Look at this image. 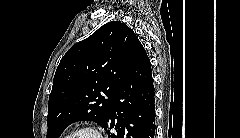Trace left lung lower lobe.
Returning <instances> with one entry per match:
<instances>
[{"mask_svg":"<svg viewBox=\"0 0 240 138\" xmlns=\"http://www.w3.org/2000/svg\"><path fill=\"white\" fill-rule=\"evenodd\" d=\"M154 96L151 64L142 46L111 102L102 127L111 138H154Z\"/></svg>","mask_w":240,"mask_h":138,"instance_id":"obj_1","label":"left lung lower lobe"}]
</instances>
